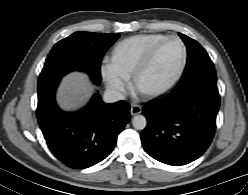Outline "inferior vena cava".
<instances>
[{"instance_id":"602c4592","label":"inferior vena cava","mask_w":248,"mask_h":195,"mask_svg":"<svg viewBox=\"0 0 248 195\" xmlns=\"http://www.w3.org/2000/svg\"><path fill=\"white\" fill-rule=\"evenodd\" d=\"M103 98L106 103H113L119 100H124L125 94L116 89H106Z\"/></svg>"}]
</instances>
